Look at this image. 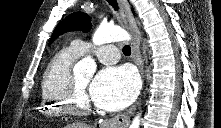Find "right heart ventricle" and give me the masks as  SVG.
Returning a JSON list of instances; mask_svg holds the SVG:
<instances>
[{"label":"right heart ventricle","mask_w":221,"mask_h":128,"mask_svg":"<svg viewBox=\"0 0 221 128\" xmlns=\"http://www.w3.org/2000/svg\"><path fill=\"white\" fill-rule=\"evenodd\" d=\"M82 54L73 46L63 48L49 61L41 82L39 112L44 117L68 114L67 93L73 75V66Z\"/></svg>","instance_id":"e07e8e85"}]
</instances>
